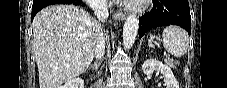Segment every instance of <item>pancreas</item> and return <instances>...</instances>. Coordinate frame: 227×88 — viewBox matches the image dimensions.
<instances>
[{"mask_svg":"<svg viewBox=\"0 0 227 88\" xmlns=\"http://www.w3.org/2000/svg\"><path fill=\"white\" fill-rule=\"evenodd\" d=\"M166 63H167L170 67H172V68L175 67V63H174L173 59H167V60H166Z\"/></svg>","mask_w":227,"mask_h":88,"instance_id":"obj_1","label":"pancreas"}]
</instances>
